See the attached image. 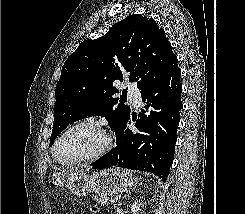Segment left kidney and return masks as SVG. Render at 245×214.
Wrapping results in <instances>:
<instances>
[{
	"instance_id": "obj_1",
	"label": "left kidney",
	"mask_w": 245,
	"mask_h": 214,
	"mask_svg": "<svg viewBox=\"0 0 245 214\" xmlns=\"http://www.w3.org/2000/svg\"><path fill=\"white\" fill-rule=\"evenodd\" d=\"M131 211L133 212V214H140L141 208H140V204L138 203V201H135L131 205Z\"/></svg>"
}]
</instances>
